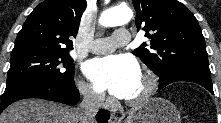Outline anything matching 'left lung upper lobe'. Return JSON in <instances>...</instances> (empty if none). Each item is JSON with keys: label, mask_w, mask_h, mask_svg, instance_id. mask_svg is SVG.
<instances>
[{"label": "left lung upper lobe", "mask_w": 221, "mask_h": 123, "mask_svg": "<svg viewBox=\"0 0 221 123\" xmlns=\"http://www.w3.org/2000/svg\"><path fill=\"white\" fill-rule=\"evenodd\" d=\"M136 27L151 40L135 51L160 78L173 71L199 69L210 72L205 40L197 19L177 0H132ZM148 47V48H146Z\"/></svg>", "instance_id": "left-lung-upper-lobe-1"}]
</instances>
